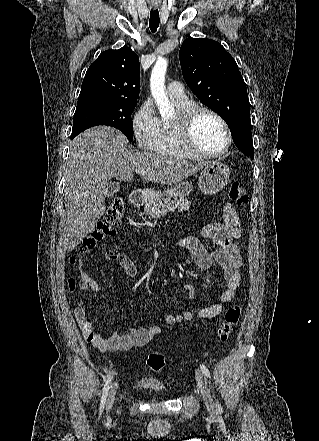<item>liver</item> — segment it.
I'll list each match as a JSON object with an SVG mask.
<instances>
[{
  "label": "liver",
  "instance_id": "obj_1",
  "mask_svg": "<svg viewBox=\"0 0 319 441\" xmlns=\"http://www.w3.org/2000/svg\"><path fill=\"white\" fill-rule=\"evenodd\" d=\"M69 146L64 189L67 219L63 230L67 251L74 250L104 214L111 178L131 181V172L141 168L145 182L172 185L208 164L135 151L122 132L108 126L86 130L76 136Z\"/></svg>",
  "mask_w": 319,
  "mask_h": 441
}]
</instances>
